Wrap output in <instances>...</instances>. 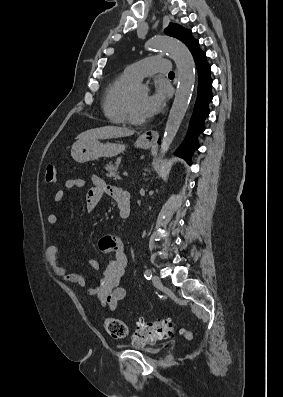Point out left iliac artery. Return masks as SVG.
Masks as SVG:
<instances>
[{
    "mask_svg": "<svg viewBox=\"0 0 283 397\" xmlns=\"http://www.w3.org/2000/svg\"><path fill=\"white\" fill-rule=\"evenodd\" d=\"M144 277H145L147 280H150V279L152 278V272H151V270L147 269V270L144 272Z\"/></svg>",
    "mask_w": 283,
    "mask_h": 397,
    "instance_id": "44dca946",
    "label": "left iliac artery"
}]
</instances>
